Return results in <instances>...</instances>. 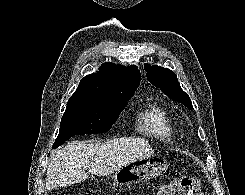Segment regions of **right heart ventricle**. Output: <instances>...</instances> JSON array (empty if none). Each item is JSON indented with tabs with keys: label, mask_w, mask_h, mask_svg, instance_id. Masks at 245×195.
Wrapping results in <instances>:
<instances>
[{
	"label": "right heart ventricle",
	"mask_w": 245,
	"mask_h": 195,
	"mask_svg": "<svg viewBox=\"0 0 245 195\" xmlns=\"http://www.w3.org/2000/svg\"><path fill=\"white\" fill-rule=\"evenodd\" d=\"M135 128L144 137L171 140L174 123L168 112L157 103L147 104L136 116Z\"/></svg>",
	"instance_id": "right-heart-ventricle-1"
}]
</instances>
